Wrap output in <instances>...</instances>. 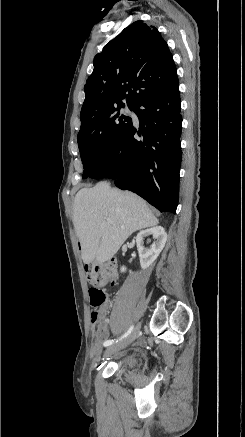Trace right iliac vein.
I'll list each match as a JSON object with an SVG mask.
<instances>
[{"instance_id": "obj_1", "label": "right iliac vein", "mask_w": 245, "mask_h": 437, "mask_svg": "<svg viewBox=\"0 0 245 437\" xmlns=\"http://www.w3.org/2000/svg\"><path fill=\"white\" fill-rule=\"evenodd\" d=\"M139 330H140V323L135 326L132 333H130L124 340L120 341L115 345L108 347L105 350L104 356L111 355L129 346L137 338Z\"/></svg>"}]
</instances>
